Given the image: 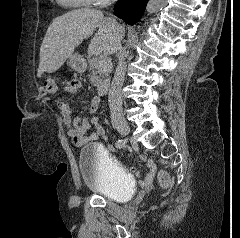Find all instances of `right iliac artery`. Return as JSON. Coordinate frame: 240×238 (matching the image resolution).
Returning a JSON list of instances; mask_svg holds the SVG:
<instances>
[{
  "label": "right iliac artery",
  "instance_id": "82829eb1",
  "mask_svg": "<svg viewBox=\"0 0 240 238\" xmlns=\"http://www.w3.org/2000/svg\"><path fill=\"white\" fill-rule=\"evenodd\" d=\"M123 144H124L123 140H118L115 145L117 148H122Z\"/></svg>",
  "mask_w": 240,
  "mask_h": 238
}]
</instances>
